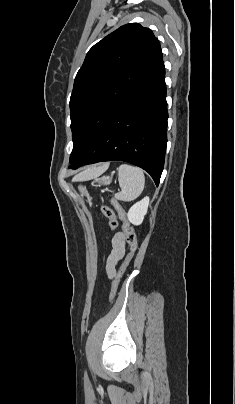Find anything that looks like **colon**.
<instances>
[{"label":"colon","instance_id":"1","mask_svg":"<svg viewBox=\"0 0 235 404\" xmlns=\"http://www.w3.org/2000/svg\"><path fill=\"white\" fill-rule=\"evenodd\" d=\"M111 205L116 209V211L119 213L121 219H122V229L125 235V240L127 244L129 245V253L119 268V270L115 273L112 283H111V289L109 293V301H112L116 291L118 284L120 282L121 277L123 276L125 270L127 269L130 261L132 260L136 250H137V237L136 233L133 229V227L129 224V222L124 218V210L119 204V202L116 199L111 200ZM102 213L103 215L109 220V227L111 230H114L117 227V219H116V214L113 210L112 207L108 205H102Z\"/></svg>","mask_w":235,"mask_h":404}]
</instances>
